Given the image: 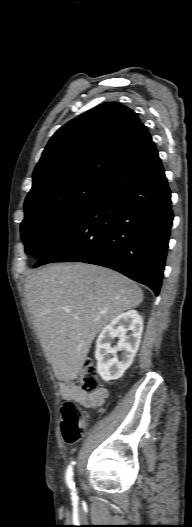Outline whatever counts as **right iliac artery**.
I'll list each match as a JSON object with an SVG mask.
<instances>
[{
    "label": "right iliac artery",
    "mask_w": 192,
    "mask_h": 527,
    "mask_svg": "<svg viewBox=\"0 0 192 527\" xmlns=\"http://www.w3.org/2000/svg\"><path fill=\"white\" fill-rule=\"evenodd\" d=\"M75 463L72 462L68 468H67V471H66V483L67 485L69 486V488L72 490V491H75V487H74V482H73V465Z\"/></svg>",
    "instance_id": "right-iliac-artery-1"
}]
</instances>
